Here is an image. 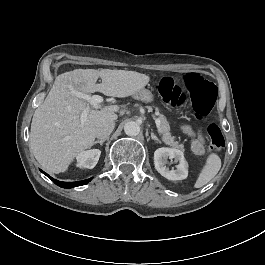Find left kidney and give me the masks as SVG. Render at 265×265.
<instances>
[{"label":"left kidney","mask_w":265,"mask_h":265,"mask_svg":"<svg viewBox=\"0 0 265 265\" xmlns=\"http://www.w3.org/2000/svg\"><path fill=\"white\" fill-rule=\"evenodd\" d=\"M168 159L174 160L176 166L170 170ZM155 168L164 177L171 180L185 179L188 175V163L184 154L178 149L159 148L154 153Z\"/></svg>","instance_id":"5707ae66"}]
</instances>
